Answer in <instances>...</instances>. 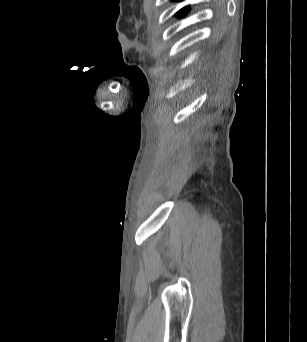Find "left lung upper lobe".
<instances>
[{"instance_id":"obj_1","label":"left lung upper lobe","mask_w":307,"mask_h":342,"mask_svg":"<svg viewBox=\"0 0 307 342\" xmlns=\"http://www.w3.org/2000/svg\"><path fill=\"white\" fill-rule=\"evenodd\" d=\"M176 1H181V0H176ZM187 12V8H182L177 14H179L180 16H182L184 13Z\"/></svg>"}]
</instances>
